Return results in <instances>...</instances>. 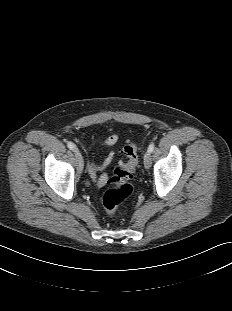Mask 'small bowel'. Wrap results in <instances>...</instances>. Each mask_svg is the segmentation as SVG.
I'll use <instances>...</instances> for the list:
<instances>
[{
    "label": "small bowel",
    "mask_w": 232,
    "mask_h": 311,
    "mask_svg": "<svg viewBox=\"0 0 232 311\" xmlns=\"http://www.w3.org/2000/svg\"><path fill=\"white\" fill-rule=\"evenodd\" d=\"M118 141V135L117 134H112L109 137H107L104 142H103V146L109 147L114 145L115 143H117ZM113 159V153H110L106 159L100 163L97 164L95 162H89L88 163V169L91 175V178L93 179V181L97 184V186H102L105 184L106 182V175L103 174L100 178H97L96 173L98 171H102L104 170L112 161Z\"/></svg>",
    "instance_id": "obj_1"
}]
</instances>
